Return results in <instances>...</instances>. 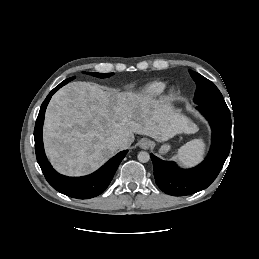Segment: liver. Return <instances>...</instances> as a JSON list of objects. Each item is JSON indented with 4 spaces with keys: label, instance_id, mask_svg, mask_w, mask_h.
<instances>
[{
    "label": "liver",
    "instance_id": "liver-1",
    "mask_svg": "<svg viewBox=\"0 0 259 259\" xmlns=\"http://www.w3.org/2000/svg\"><path fill=\"white\" fill-rule=\"evenodd\" d=\"M195 131L193 123L164 100L72 82L61 88L47 107L44 146L58 172L82 176L97 170L119 149L128 148L134 133L164 142L176 134ZM116 135L125 139V147L111 143Z\"/></svg>",
    "mask_w": 259,
    "mask_h": 259
}]
</instances>
